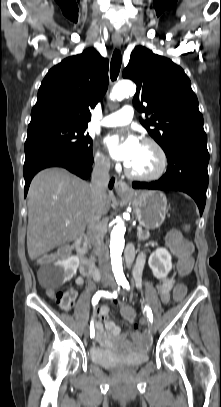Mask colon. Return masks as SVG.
Masks as SVG:
<instances>
[{"label": "colon", "instance_id": "colon-1", "mask_svg": "<svg viewBox=\"0 0 221 407\" xmlns=\"http://www.w3.org/2000/svg\"><path fill=\"white\" fill-rule=\"evenodd\" d=\"M167 243L172 251L179 257L178 261V277L187 279L191 272L192 264L195 261L193 255L194 243L189 239H184L180 231H172L167 236ZM67 253L66 246H55L54 252H45L44 259H37L36 266H41L42 261H57L65 259ZM59 255V256H58ZM48 295L53 298L57 305L63 309H69L74 302L73 297L68 291H47ZM188 295L187 282H176L171 287L170 300L172 304H183ZM119 315L124 322H129L130 328L136 327L137 311L134 305H121L119 307Z\"/></svg>", "mask_w": 221, "mask_h": 407}]
</instances>
